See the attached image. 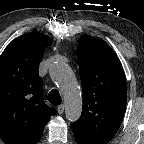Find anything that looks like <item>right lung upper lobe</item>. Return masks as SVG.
Returning a JSON list of instances; mask_svg holds the SVG:
<instances>
[{
	"mask_svg": "<svg viewBox=\"0 0 144 144\" xmlns=\"http://www.w3.org/2000/svg\"><path fill=\"white\" fill-rule=\"evenodd\" d=\"M51 39L39 32L13 40L0 56V137L5 144H36L50 117L38 63Z\"/></svg>",
	"mask_w": 144,
	"mask_h": 144,
	"instance_id": "1",
	"label": "right lung upper lobe"
}]
</instances>
